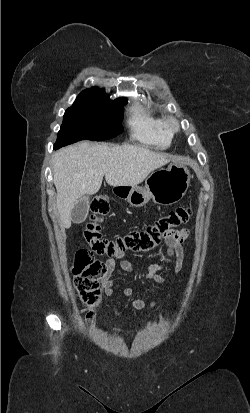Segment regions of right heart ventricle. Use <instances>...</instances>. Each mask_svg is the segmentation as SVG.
Instances as JSON below:
<instances>
[{
    "instance_id": "1",
    "label": "right heart ventricle",
    "mask_w": 250,
    "mask_h": 413,
    "mask_svg": "<svg viewBox=\"0 0 250 413\" xmlns=\"http://www.w3.org/2000/svg\"><path fill=\"white\" fill-rule=\"evenodd\" d=\"M131 137L143 144L165 148L171 135L164 126V116L150 105H135L128 120Z\"/></svg>"
}]
</instances>
